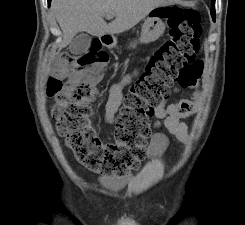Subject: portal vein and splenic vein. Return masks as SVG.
Masks as SVG:
<instances>
[{
    "mask_svg": "<svg viewBox=\"0 0 245 225\" xmlns=\"http://www.w3.org/2000/svg\"><path fill=\"white\" fill-rule=\"evenodd\" d=\"M114 17H115L114 14H107V15H106V18H107V19H112V18H114Z\"/></svg>",
    "mask_w": 245,
    "mask_h": 225,
    "instance_id": "obj_1",
    "label": "portal vein and splenic vein"
}]
</instances>
